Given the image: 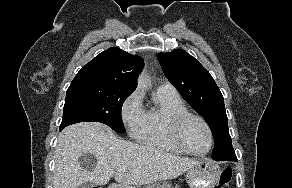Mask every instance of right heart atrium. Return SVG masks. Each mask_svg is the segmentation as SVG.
I'll return each instance as SVG.
<instances>
[{
	"label": "right heart atrium",
	"mask_w": 292,
	"mask_h": 188,
	"mask_svg": "<svg viewBox=\"0 0 292 188\" xmlns=\"http://www.w3.org/2000/svg\"><path fill=\"white\" fill-rule=\"evenodd\" d=\"M144 110L138 90L132 92L122 103L121 119L130 135L135 136L141 127Z\"/></svg>",
	"instance_id": "d8ad5b80"
}]
</instances>
